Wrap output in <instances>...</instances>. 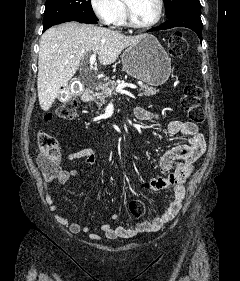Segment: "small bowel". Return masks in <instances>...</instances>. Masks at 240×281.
<instances>
[{
  "label": "small bowel",
  "instance_id": "1",
  "mask_svg": "<svg viewBox=\"0 0 240 281\" xmlns=\"http://www.w3.org/2000/svg\"><path fill=\"white\" fill-rule=\"evenodd\" d=\"M139 119L141 120H158L159 114L146 110L138 109ZM167 135H183L186 137V143L178 145L169 150L160 160V168L165 172H170L166 177H153L148 188L152 192H159L169 187L172 188L173 197L168 207L157 215L152 221H145L132 224L128 227L113 226L105 223L100 226L99 230L103 237L107 239L131 238L143 232H154L161 229L165 224L172 221L179 213L182 201L185 197V182L192 174L195 162L203 155L206 149L204 136L199 132L197 125L193 122H183L178 120L170 121L165 130ZM68 161L83 160L88 165H95L97 152L93 148H85L67 155ZM76 169L65 170L58 168L54 175H45L47 183L57 182L58 184L68 187L69 181L77 175ZM50 203V210L55 213L56 220L69 228L71 233L80 232L88 234L91 239H100L101 236L94 233L88 226H82L79 223H70L69 220L57 214V206ZM116 215L111 219L115 220Z\"/></svg>",
  "mask_w": 240,
  "mask_h": 281
}]
</instances>
